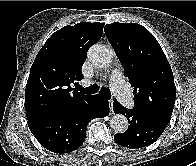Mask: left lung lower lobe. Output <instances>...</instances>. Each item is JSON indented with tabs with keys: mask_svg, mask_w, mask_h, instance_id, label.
Here are the masks:
<instances>
[{
	"mask_svg": "<svg viewBox=\"0 0 196 166\" xmlns=\"http://www.w3.org/2000/svg\"><path fill=\"white\" fill-rule=\"evenodd\" d=\"M113 110L115 113L124 114L130 124L126 132L114 135L115 142L123 147L141 148L151 145L160 137L168 124L134 109H126L117 101L113 102Z\"/></svg>",
	"mask_w": 196,
	"mask_h": 166,
	"instance_id": "obj_1",
	"label": "left lung lower lobe"
}]
</instances>
